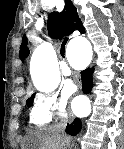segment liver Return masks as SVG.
I'll return each instance as SVG.
<instances>
[{"mask_svg": "<svg viewBox=\"0 0 124 149\" xmlns=\"http://www.w3.org/2000/svg\"><path fill=\"white\" fill-rule=\"evenodd\" d=\"M65 142V138L54 128L39 129L26 138L28 147H34V149L35 147H38V149H61Z\"/></svg>", "mask_w": 124, "mask_h": 149, "instance_id": "liver-1", "label": "liver"}]
</instances>
